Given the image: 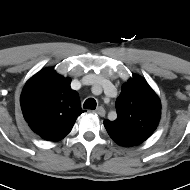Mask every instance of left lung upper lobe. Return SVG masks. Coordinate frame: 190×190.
Here are the masks:
<instances>
[{
	"label": "left lung upper lobe",
	"instance_id": "5c2ea615",
	"mask_svg": "<svg viewBox=\"0 0 190 190\" xmlns=\"http://www.w3.org/2000/svg\"><path fill=\"white\" fill-rule=\"evenodd\" d=\"M117 119L104 121L109 136L119 145L134 146L145 141L160 119V101L140 76L122 86L116 100Z\"/></svg>",
	"mask_w": 190,
	"mask_h": 190
}]
</instances>
